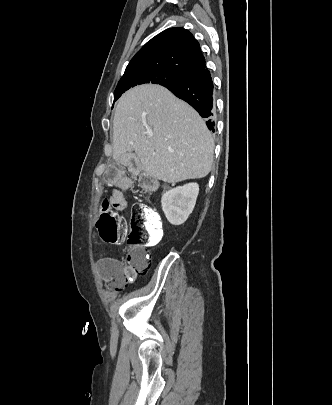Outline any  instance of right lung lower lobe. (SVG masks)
<instances>
[{
  "mask_svg": "<svg viewBox=\"0 0 332 405\" xmlns=\"http://www.w3.org/2000/svg\"><path fill=\"white\" fill-rule=\"evenodd\" d=\"M166 88L178 98L189 103L203 118L213 115L215 110L214 85L211 74L206 68L184 77ZM206 124L210 130L214 131V121L209 119Z\"/></svg>",
  "mask_w": 332,
  "mask_h": 405,
  "instance_id": "1",
  "label": "right lung lower lobe"
}]
</instances>
